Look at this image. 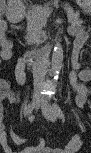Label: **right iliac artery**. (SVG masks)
<instances>
[{
  "instance_id": "obj_1",
  "label": "right iliac artery",
  "mask_w": 91,
  "mask_h": 153,
  "mask_svg": "<svg viewBox=\"0 0 91 153\" xmlns=\"http://www.w3.org/2000/svg\"><path fill=\"white\" fill-rule=\"evenodd\" d=\"M32 110H33V109H32V106H31V104H29V105L25 108V114H26V115H27V114H30Z\"/></svg>"
}]
</instances>
